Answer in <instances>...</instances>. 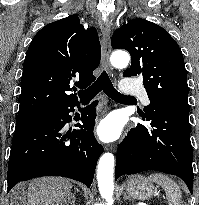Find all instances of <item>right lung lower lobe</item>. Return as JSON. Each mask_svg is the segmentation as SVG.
I'll use <instances>...</instances> for the list:
<instances>
[{
    "instance_id": "right-lung-lower-lobe-1",
    "label": "right lung lower lobe",
    "mask_w": 199,
    "mask_h": 205,
    "mask_svg": "<svg viewBox=\"0 0 199 205\" xmlns=\"http://www.w3.org/2000/svg\"><path fill=\"white\" fill-rule=\"evenodd\" d=\"M88 106L81 116L80 130L64 134L63 128L71 121L78 101L53 111V118L15 134L9 156L7 190L20 181L40 176H62L84 183L93 182L97 160L104 148L93 136L95 106Z\"/></svg>"
}]
</instances>
